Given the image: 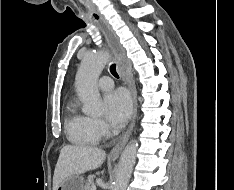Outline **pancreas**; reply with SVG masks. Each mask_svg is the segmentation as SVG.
Wrapping results in <instances>:
<instances>
[{
  "mask_svg": "<svg viewBox=\"0 0 234 190\" xmlns=\"http://www.w3.org/2000/svg\"><path fill=\"white\" fill-rule=\"evenodd\" d=\"M94 185V176L90 175L84 186V190H91V187Z\"/></svg>",
  "mask_w": 234,
  "mask_h": 190,
  "instance_id": "obj_1",
  "label": "pancreas"
}]
</instances>
